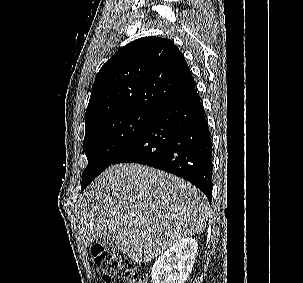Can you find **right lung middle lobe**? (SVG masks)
I'll list each match as a JSON object with an SVG mask.
<instances>
[{
    "instance_id": "dd1d6c3e",
    "label": "right lung middle lobe",
    "mask_w": 303,
    "mask_h": 283,
    "mask_svg": "<svg viewBox=\"0 0 303 283\" xmlns=\"http://www.w3.org/2000/svg\"><path fill=\"white\" fill-rule=\"evenodd\" d=\"M155 115L127 111L103 118L86 128L83 151L88 165L82 175V191L139 137Z\"/></svg>"
}]
</instances>
